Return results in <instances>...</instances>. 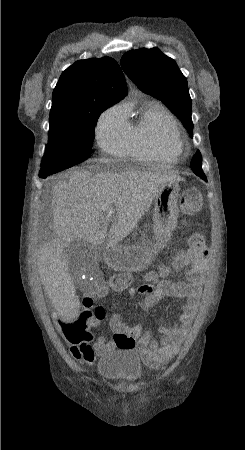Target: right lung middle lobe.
<instances>
[{"label": "right lung middle lobe", "instance_id": "1", "mask_svg": "<svg viewBox=\"0 0 245 450\" xmlns=\"http://www.w3.org/2000/svg\"><path fill=\"white\" fill-rule=\"evenodd\" d=\"M114 103H98L84 112L58 113L50 116L48 150L39 175H50L90 158L94 126L100 114Z\"/></svg>", "mask_w": 245, "mask_h": 450}]
</instances>
